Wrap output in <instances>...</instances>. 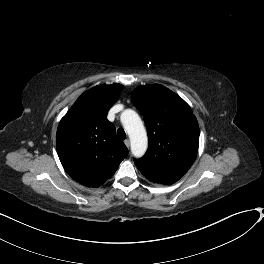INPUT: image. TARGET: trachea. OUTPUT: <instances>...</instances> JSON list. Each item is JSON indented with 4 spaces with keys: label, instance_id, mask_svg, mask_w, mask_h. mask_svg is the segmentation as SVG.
Wrapping results in <instances>:
<instances>
[{
    "label": "trachea",
    "instance_id": "1",
    "mask_svg": "<svg viewBox=\"0 0 264 264\" xmlns=\"http://www.w3.org/2000/svg\"><path fill=\"white\" fill-rule=\"evenodd\" d=\"M117 135H118L119 139H121V140H124L126 138V133H125L123 128H119L117 130Z\"/></svg>",
    "mask_w": 264,
    "mask_h": 264
}]
</instances>
